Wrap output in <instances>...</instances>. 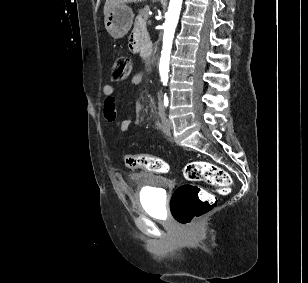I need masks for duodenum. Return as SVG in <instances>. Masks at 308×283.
<instances>
[{
	"mask_svg": "<svg viewBox=\"0 0 308 283\" xmlns=\"http://www.w3.org/2000/svg\"><path fill=\"white\" fill-rule=\"evenodd\" d=\"M152 38H143V41L141 42V49L143 51V56L147 57L146 59L148 60V57L153 56V51L152 49Z\"/></svg>",
	"mask_w": 308,
	"mask_h": 283,
	"instance_id": "duodenum-1",
	"label": "duodenum"
}]
</instances>
